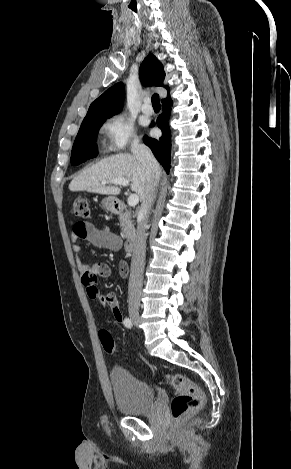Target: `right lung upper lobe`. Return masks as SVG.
<instances>
[{
    "instance_id": "cb5924a9",
    "label": "right lung upper lobe",
    "mask_w": 291,
    "mask_h": 469,
    "mask_svg": "<svg viewBox=\"0 0 291 469\" xmlns=\"http://www.w3.org/2000/svg\"><path fill=\"white\" fill-rule=\"evenodd\" d=\"M139 75L141 81L145 84L163 86L165 77L163 66L152 54L148 55L142 62ZM166 89L168 90V87H166ZM124 98L125 92L123 84H115L92 102L84 120L115 115L121 110Z\"/></svg>"
}]
</instances>
